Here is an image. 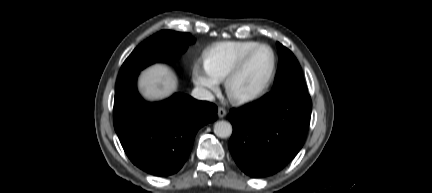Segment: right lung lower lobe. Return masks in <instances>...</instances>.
<instances>
[{
  "instance_id": "obj_1",
  "label": "right lung lower lobe",
  "mask_w": 432,
  "mask_h": 193,
  "mask_svg": "<svg viewBox=\"0 0 432 193\" xmlns=\"http://www.w3.org/2000/svg\"><path fill=\"white\" fill-rule=\"evenodd\" d=\"M138 74L119 78L116 83L114 128L137 167L168 176L187 160L199 128L216 120L217 107L183 93L162 102H146L137 91Z\"/></svg>"
}]
</instances>
